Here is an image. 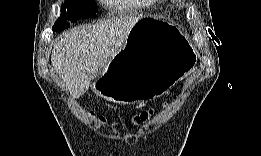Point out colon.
Returning a JSON list of instances; mask_svg holds the SVG:
<instances>
[{
	"label": "colon",
	"instance_id": "1",
	"mask_svg": "<svg viewBox=\"0 0 261 156\" xmlns=\"http://www.w3.org/2000/svg\"><path fill=\"white\" fill-rule=\"evenodd\" d=\"M153 113L152 109L141 111L132 117V123L141 124L145 122Z\"/></svg>",
	"mask_w": 261,
	"mask_h": 156
}]
</instances>
